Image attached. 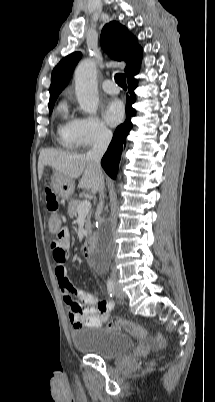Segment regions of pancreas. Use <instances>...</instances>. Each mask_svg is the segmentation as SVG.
Listing matches in <instances>:
<instances>
[{"label":"pancreas","mask_w":215,"mask_h":402,"mask_svg":"<svg viewBox=\"0 0 215 402\" xmlns=\"http://www.w3.org/2000/svg\"><path fill=\"white\" fill-rule=\"evenodd\" d=\"M80 201L79 200H71L70 202H69V205H68V214H69V216L70 217H76L77 216V208H78V206L80 205ZM90 217H91V214L90 213H88L87 214V218H86V221H85V228H86V235H89V234H91V221H90Z\"/></svg>","instance_id":"cf45deb5"}]
</instances>
